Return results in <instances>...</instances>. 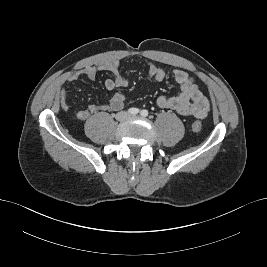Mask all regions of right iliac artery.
<instances>
[{"label": "right iliac artery", "instance_id": "obj_1", "mask_svg": "<svg viewBox=\"0 0 267 267\" xmlns=\"http://www.w3.org/2000/svg\"><path fill=\"white\" fill-rule=\"evenodd\" d=\"M128 113L132 114V115H136L137 113H139V109L138 108H130V109H128Z\"/></svg>", "mask_w": 267, "mask_h": 267}]
</instances>
